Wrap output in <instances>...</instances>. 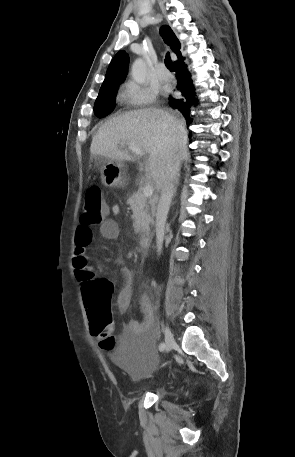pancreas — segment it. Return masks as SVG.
<instances>
[{"label": "pancreas", "instance_id": "cf45deb5", "mask_svg": "<svg viewBox=\"0 0 295 457\" xmlns=\"http://www.w3.org/2000/svg\"><path fill=\"white\" fill-rule=\"evenodd\" d=\"M133 211L132 219L135 234L149 232L152 217L149 209V202L141 190L133 193L127 200Z\"/></svg>", "mask_w": 295, "mask_h": 457}]
</instances>
